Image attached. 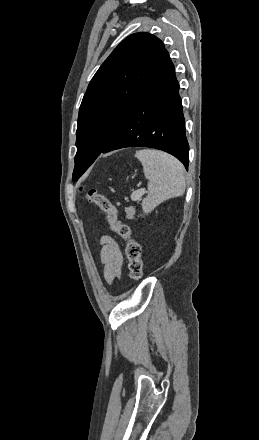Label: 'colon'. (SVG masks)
<instances>
[{
  "label": "colon",
  "instance_id": "5ec220e1",
  "mask_svg": "<svg viewBox=\"0 0 259 440\" xmlns=\"http://www.w3.org/2000/svg\"><path fill=\"white\" fill-rule=\"evenodd\" d=\"M85 198L106 214L111 230L125 241V253L128 259L130 277L134 280L140 279L143 272L142 249L139 242L132 237L130 227L118 219L115 206L97 190L89 189L85 191Z\"/></svg>",
  "mask_w": 259,
  "mask_h": 440
}]
</instances>
